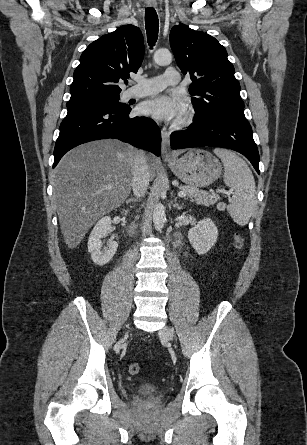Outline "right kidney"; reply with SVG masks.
<instances>
[{"label": "right kidney", "instance_id": "ca27d5eb", "mask_svg": "<svg viewBox=\"0 0 307 445\" xmlns=\"http://www.w3.org/2000/svg\"><path fill=\"white\" fill-rule=\"evenodd\" d=\"M128 210H124V214H127ZM111 227V218L110 216H103L96 223L89 239H88V251L91 253V259L99 265V267H103V265H107L109 261H111L112 257H114L117 249L118 243L113 241L114 237H111L108 241V245L106 249L101 251L102 243L101 239L110 233Z\"/></svg>", "mask_w": 307, "mask_h": 445}]
</instances>
